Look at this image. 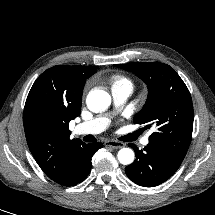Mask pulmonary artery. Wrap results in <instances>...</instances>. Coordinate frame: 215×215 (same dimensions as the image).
Returning a JSON list of instances; mask_svg holds the SVG:
<instances>
[{"label":"pulmonary artery","instance_id":"obj_1","mask_svg":"<svg viewBox=\"0 0 215 215\" xmlns=\"http://www.w3.org/2000/svg\"><path fill=\"white\" fill-rule=\"evenodd\" d=\"M131 93H132V89L130 87H119V88L112 89V97H113L114 104L116 106L123 105L126 102V100L129 98ZM108 125H109V119L107 117L100 116L92 120L78 124L74 129V133L77 135L98 134L104 131L108 127ZM148 143H149V138L148 136H146L142 139V144L147 145Z\"/></svg>","mask_w":215,"mask_h":215}]
</instances>
